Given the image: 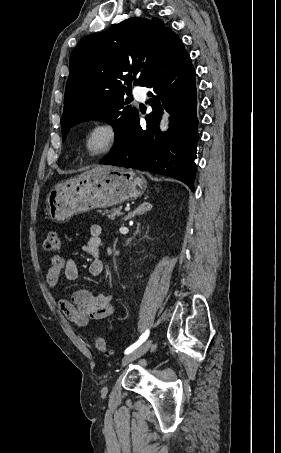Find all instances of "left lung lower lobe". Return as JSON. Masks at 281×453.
Wrapping results in <instances>:
<instances>
[{
  "mask_svg": "<svg viewBox=\"0 0 281 453\" xmlns=\"http://www.w3.org/2000/svg\"><path fill=\"white\" fill-rule=\"evenodd\" d=\"M153 111L142 129L137 117L127 134L99 163L135 168L178 179L193 190L196 165L197 99L195 71L183 43L174 37L161 63L147 81ZM162 106L168 109L169 130L161 134Z\"/></svg>",
  "mask_w": 281,
  "mask_h": 453,
  "instance_id": "0a47b994",
  "label": "left lung lower lobe"
}]
</instances>
